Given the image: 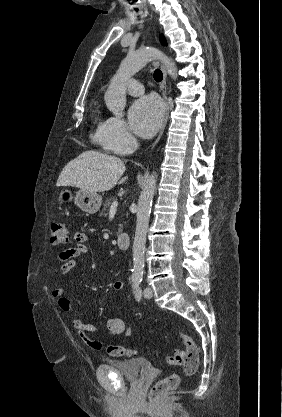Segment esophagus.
Returning <instances> with one entry per match:
<instances>
[{"instance_id":"esophagus-1","label":"esophagus","mask_w":282,"mask_h":417,"mask_svg":"<svg viewBox=\"0 0 282 417\" xmlns=\"http://www.w3.org/2000/svg\"><path fill=\"white\" fill-rule=\"evenodd\" d=\"M162 73H163V79L160 83V89L162 91V95H163V100H164V114H163V121L161 124V128L159 131V135L157 137V139L155 140V142L152 145V149L155 147V145L159 142L160 138L163 135V132L165 130V126L167 124L168 121V116H169V102L167 99V85H166V77H167V73H166V69H165V65L163 62H161L160 64Z\"/></svg>"}]
</instances>
